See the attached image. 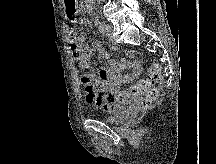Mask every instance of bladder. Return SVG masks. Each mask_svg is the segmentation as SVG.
I'll list each match as a JSON object with an SVG mask.
<instances>
[{
    "mask_svg": "<svg viewBox=\"0 0 216 164\" xmlns=\"http://www.w3.org/2000/svg\"><path fill=\"white\" fill-rule=\"evenodd\" d=\"M129 108L126 106H118L110 115L103 118L107 123L121 125L128 116Z\"/></svg>",
    "mask_w": 216,
    "mask_h": 164,
    "instance_id": "obj_1",
    "label": "bladder"
}]
</instances>
